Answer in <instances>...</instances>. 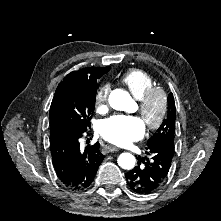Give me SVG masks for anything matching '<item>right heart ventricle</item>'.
Masks as SVG:
<instances>
[{"mask_svg":"<svg viewBox=\"0 0 221 221\" xmlns=\"http://www.w3.org/2000/svg\"><path fill=\"white\" fill-rule=\"evenodd\" d=\"M118 81L123 84L130 93L140 100L146 92L155 87V80L145 70L132 68L123 73Z\"/></svg>","mask_w":221,"mask_h":221,"instance_id":"obj_1","label":"right heart ventricle"}]
</instances>
